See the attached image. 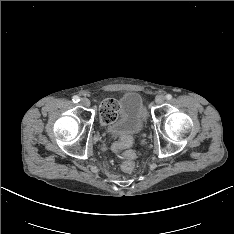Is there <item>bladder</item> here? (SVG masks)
I'll return each mask as SVG.
<instances>
[{
	"mask_svg": "<svg viewBox=\"0 0 234 234\" xmlns=\"http://www.w3.org/2000/svg\"><path fill=\"white\" fill-rule=\"evenodd\" d=\"M146 123L147 113L142 96L129 91L120 97L116 119L108 124V131L116 136H133L143 132Z\"/></svg>",
	"mask_w": 234,
	"mask_h": 234,
	"instance_id": "31cf9c89",
	"label": "bladder"
}]
</instances>
